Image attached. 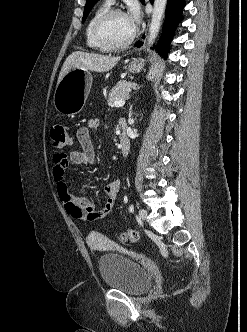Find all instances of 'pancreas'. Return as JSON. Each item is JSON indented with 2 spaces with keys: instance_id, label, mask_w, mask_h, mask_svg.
<instances>
[{
  "instance_id": "cf45deb5",
  "label": "pancreas",
  "mask_w": 247,
  "mask_h": 332,
  "mask_svg": "<svg viewBox=\"0 0 247 332\" xmlns=\"http://www.w3.org/2000/svg\"><path fill=\"white\" fill-rule=\"evenodd\" d=\"M131 88H136L135 83L120 81L112 89L108 95V103L111 105L116 100H124L129 97Z\"/></svg>"
}]
</instances>
